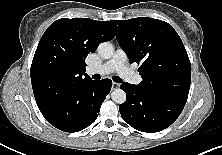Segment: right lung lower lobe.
Listing matches in <instances>:
<instances>
[{
	"mask_svg": "<svg viewBox=\"0 0 222 155\" xmlns=\"http://www.w3.org/2000/svg\"><path fill=\"white\" fill-rule=\"evenodd\" d=\"M111 87L112 82L103 79L88 80L63 90L45 85L33 92L42 115L50 124L65 132H77L96 120Z\"/></svg>",
	"mask_w": 222,
	"mask_h": 155,
	"instance_id": "right-lung-lower-lobe-1",
	"label": "right lung lower lobe"
}]
</instances>
